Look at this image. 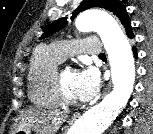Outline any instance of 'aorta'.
I'll return each instance as SVG.
<instances>
[{
	"instance_id": "aorta-1",
	"label": "aorta",
	"mask_w": 153,
	"mask_h": 134,
	"mask_svg": "<svg viewBox=\"0 0 153 134\" xmlns=\"http://www.w3.org/2000/svg\"><path fill=\"white\" fill-rule=\"evenodd\" d=\"M81 32L96 31L106 49L111 66L113 90L86 111L71 128L72 134H103L126 106L135 81L131 46L117 22L99 10H87L76 19Z\"/></svg>"
}]
</instances>
